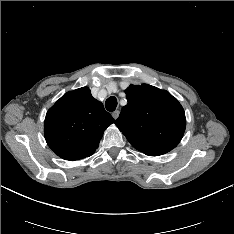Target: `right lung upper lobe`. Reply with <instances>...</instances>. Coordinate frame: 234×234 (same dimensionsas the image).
<instances>
[{
    "label": "right lung upper lobe",
    "instance_id": "right-lung-upper-lobe-1",
    "mask_svg": "<svg viewBox=\"0 0 234 234\" xmlns=\"http://www.w3.org/2000/svg\"><path fill=\"white\" fill-rule=\"evenodd\" d=\"M114 122L88 87L64 94L47 112L44 135L56 155L65 160L91 156L106 128Z\"/></svg>",
    "mask_w": 234,
    "mask_h": 234
}]
</instances>
